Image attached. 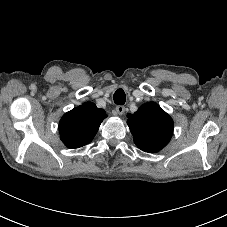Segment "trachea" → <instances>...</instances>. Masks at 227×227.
<instances>
[{
    "label": "trachea",
    "instance_id": "3493384b",
    "mask_svg": "<svg viewBox=\"0 0 227 227\" xmlns=\"http://www.w3.org/2000/svg\"><path fill=\"white\" fill-rule=\"evenodd\" d=\"M114 103L117 105H123L125 104L126 101V95L123 89H118L115 93H114Z\"/></svg>",
    "mask_w": 227,
    "mask_h": 227
}]
</instances>
